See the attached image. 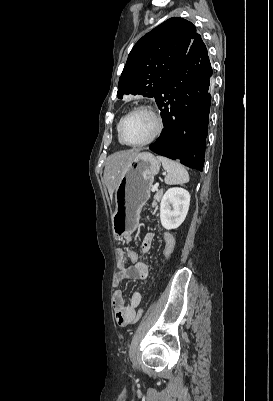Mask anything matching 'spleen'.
Returning <instances> with one entry per match:
<instances>
[{
    "instance_id": "1",
    "label": "spleen",
    "mask_w": 273,
    "mask_h": 401,
    "mask_svg": "<svg viewBox=\"0 0 273 401\" xmlns=\"http://www.w3.org/2000/svg\"><path fill=\"white\" fill-rule=\"evenodd\" d=\"M157 158L162 162L163 168L169 170L168 174L165 176L166 184H182V182H188L189 174L180 162L170 160V158H166V156H157Z\"/></svg>"
}]
</instances>
